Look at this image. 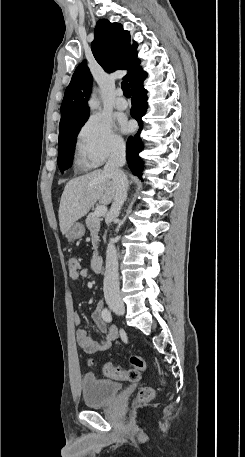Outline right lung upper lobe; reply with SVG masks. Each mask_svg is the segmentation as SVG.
<instances>
[{
    "label": "right lung upper lobe",
    "instance_id": "obj_1",
    "mask_svg": "<svg viewBox=\"0 0 245 457\" xmlns=\"http://www.w3.org/2000/svg\"><path fill=\"white\" fill-rule=\"evenodd\" d=\"M137 46L136 42L130 45V33L124 30L121 24L111 23L107 19H100L97 22L95 38L91 44L96 61L106 72L127 69L128 73L124 79L130 85L146 75L140 67V60L137 59ZM91 86L92 75L84 60L76 68L66 88L59 128L89 117L87 101Z\"/></svg>",
    "mask_w": 245,
    "mask_h": 457
}]
</instances>
